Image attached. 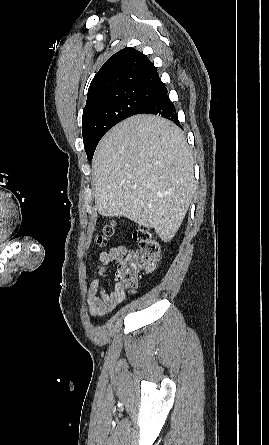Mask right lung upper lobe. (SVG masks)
<instances>
[{
    "label": "right lung upper lobe",
    "instance_id": "obj_1",
    "mask_svg": "<svg viewBox=\"0 0 269 445\" xmlns=\"http://www.w3.org/2000/svg\"><path fill=\"white\" fill-rule=\"evenodd\" d=\"M161 82L156 68L146 55L126 47L112 55L93 78L87 102L103 94L126 87H156Z\"/></svg>",
    "mask_w": 269,
    "mask_h": 445
}]
</instances>
